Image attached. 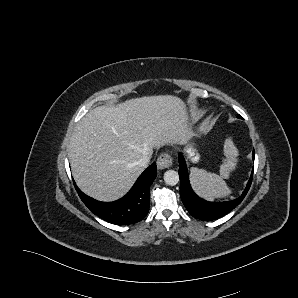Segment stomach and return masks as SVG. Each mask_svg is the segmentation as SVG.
Instances as JSON below:
<instances>
[{
	"label": "stomach",
	"instance_id": "stomach-1",
	"mask_svg": "<svg viewBox=\"0 0 298 298\" xmlns=\"http://www.w3.org/2000/svg\"><path fill=\"white\" fill-rule=\"evenodd\" d=\"M184 152L186 154L187 159L196 164L200 162L201 154L199 153L198 149L196 148L195 142H188L184 147Z\"/></svg>",
	"mask_w": 298,
	"mask_h": 298
}]
</instances>
